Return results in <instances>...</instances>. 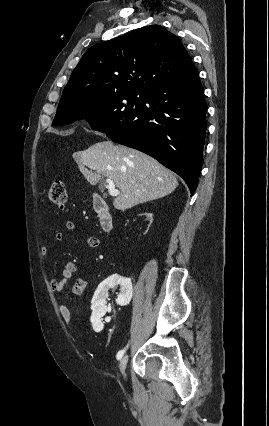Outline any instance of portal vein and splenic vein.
<instances>
[{
	"mask_svg": "<svg viewBox=\"0 0 269 426\" xmlns=\"http://www.w3.org/2000/svg\"><path fill=\"white\" fill-rule=\"evenodd\" d=\"M107 188L110 196H118L120 194L119 190L115 188V184L111 179H106Z\"/></svg>",
	"mask_w": 269,
	"mask_h": 426,
	"instance_id": "portal-vein-and-splenic-vein-1",
	"label": "portal vein and splenic vein"
}]
</instances>
